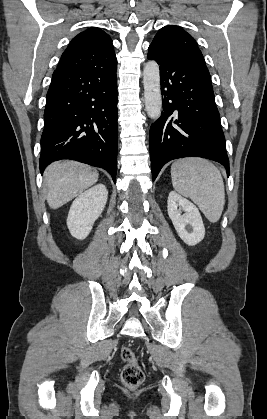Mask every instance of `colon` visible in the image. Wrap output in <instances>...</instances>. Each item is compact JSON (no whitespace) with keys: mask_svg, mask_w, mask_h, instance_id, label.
<instances>
[{"mask_svg":"<svg viewBox=\"0 0 267 419\" xmlns=\"http://www.w3.org/2000/svg\"><path fill=\"white\" fill-rule=\"evenodd\" d=\"M121 358L125 362L121 372L123 384L129 388H137L144 380V372L135 353L129 347H123Z\"/></svg>","mask_w":267,"mask_h":419,"instance_id":"colon-1","label":"colon"}]
</instances>
